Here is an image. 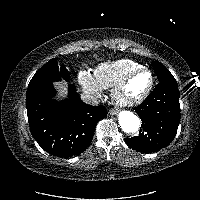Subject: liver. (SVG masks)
Listing matches in <instances>:
<instances>
[{
	"label": "liver",
	"mask_w": 200,
	"mask_h": 200,
	"mask_svg": "<svg viewBox=\"0 0 200 200\" xmlns=\"http://www.w3.org/2000/svg\"><path fill=\"white\" fill-rule=\"evenodd\" d=\"M57 85H58V87H59V90H60V92H59V97L60 96H64L65 94H66V84L65 83H57Z\"/></svg>",
	"instance_id": "6515ba94"
}]
</instances>
